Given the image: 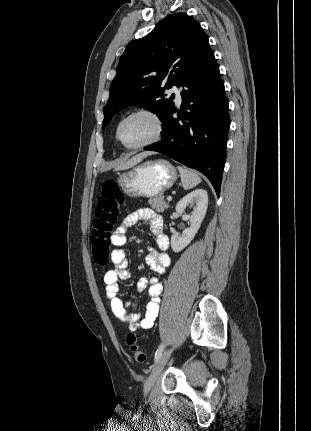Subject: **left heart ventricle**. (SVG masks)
Segmentation results:
<instances>
[{"label":"left heart ventricle","instance_id":"1","mask_svg":"<svg viewBox=\"0 0 311 431\" xmlns=\"http://www.w3.org/2000/svg\"><path fill=\"white\" fill-rule=\"evenodd\" d=\"M155 120L146 114H135L124 118L118 126V136L126 145H135L149 140L156 133Z\"/></svg>","mask_w":311,"mask_h":431}]
</instances>
